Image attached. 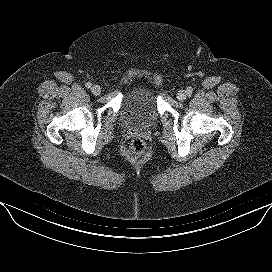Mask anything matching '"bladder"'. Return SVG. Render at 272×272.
<instances>
[{
  "label": "bladder",
  "instance_id": "obj_1",
  "mask_svg": "<svg viewBox=\"0 0 272 272\" xmlns=\"http://www.w3.org/2000/svg\"><path fill=\"white\" fill-rule=\"evenodd\" d=\"M123 122L130 127L147 128L158 119L156 94L146 84L133 87L127 94L121 111Z\"/></svg>",
  "mask_w": 272,
  "mask_h": 272
}]
</instances>
